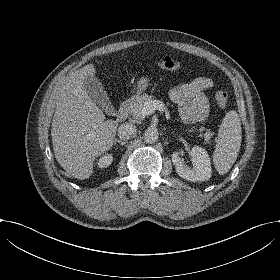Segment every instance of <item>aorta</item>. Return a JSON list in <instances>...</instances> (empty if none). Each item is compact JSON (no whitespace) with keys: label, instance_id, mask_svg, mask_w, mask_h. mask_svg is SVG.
Returning a JSON list of instances; mask_svg holds the SVG:
<instances>
[{"label":"aorta","instance_id":"762f6f07","mask_svg":"<svg viewBox=\"0 0 280 280\" xmlns=\"http://www.w3.org/2000/svg\"><path fill=\"white\" fill-rule=\"evenodd\" d=\"M159 134L156 129L148 128L144 132V141L149 144H153L158 140Z\"/></svg>","mask_w":280,"mask_h":280}]
</instances>
